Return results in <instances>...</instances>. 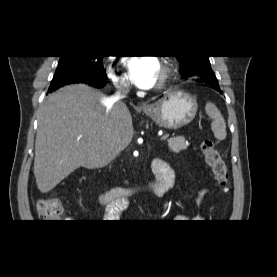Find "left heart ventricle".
I'll use <instances>...</instances> for the list:
<instances>
[{"instance_id": "left-heart-ventricle-1", "label": "left heart ventricle", "mask_w": 277, "mask_h": 277, "mask_svg": "<svg viewBox=\"0 0 277 277\" xmlns=\"http://www.w3.org/2000/svg\"><path fill=\"white\" fill-rule=\"evenodd\" d=\"M160 75H161V70L159 71V75H158V78L160 77Z\"/></svg>"}]
</instances>
